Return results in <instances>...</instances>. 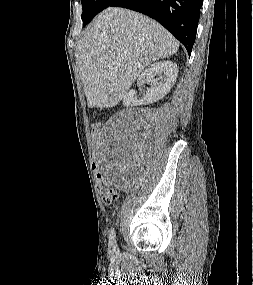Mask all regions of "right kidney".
Returning a JSON list of instances; mask_svg holds the SVG:
<instances>
[{"instance_id":"obj_1","label":"right kidney","mask_w":253,"mask_h":285,"mask_svg":"<svg viewBox=\"0 0 253 285\" xmlns=\"http://www.w3.org/2000/svg\"><path fill=\"white\" fill-rule=\"evenodd\" d=\"M156 75H160L161 77L154 80L153 85H151L141 100L135 98V90H130L124 96V105H149L161 100L169 93L170 89L175 84L178 75V67L175 63L168 60L156 62L139 75L137 83L138 85H142L146 80L153 79Z\"/></svg>"}]
</instances>
